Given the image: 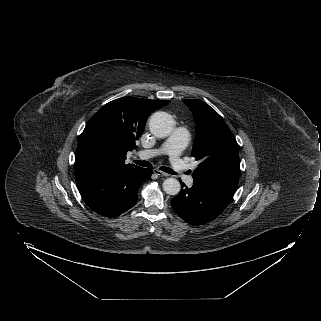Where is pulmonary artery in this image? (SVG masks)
Segmentation results:
<instances>
[{
    "instance_id": "obj_1",
    "label": "pulmonary artery",
    "mask_w": 321,
    "mask_h": 321,
    "mask_svg": "<svg viewBox=\"0 0 321 321\" xmlns=\"http://www.w3.org/2000/svg\"><path fill=\"white\" fill-rule=\"evenodd\" d=\"M188 137V131L183 127H178L163 142L160 148L139 151L138 156L142 159H150L161 154L169 155L171 168L187 185L191 186L193 179L187 176V165L181 158V153L188 142Z\"/></svg>"
}]
</instances>
